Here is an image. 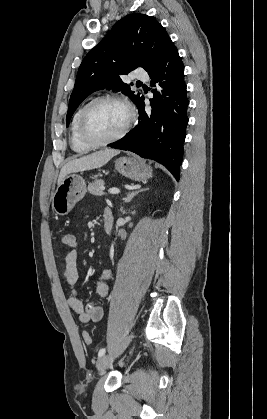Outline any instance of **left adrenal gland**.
<instances>
[{"label": "left adrenal gland", "mask_w": 267, "mask_h": 419, "mask_svg": "<svg viewBox=\"0 0 267 419\" xmlns=\"http://www.w3.org/2000/svg\"><path fill=\"white\" fill-rule=\"evenodd\" d=\"M146 190H148V188H145V189H140V190H136V191H132V192H129L128 194H127V196L124 198V202L125 203H129L136 195H138L139 193H141V192H143V191H146Z\"/></svg>", "instance_id": "obj_1"}]
</instances>
